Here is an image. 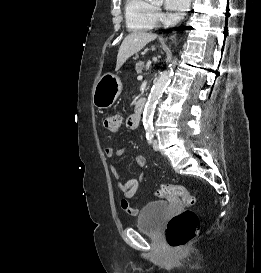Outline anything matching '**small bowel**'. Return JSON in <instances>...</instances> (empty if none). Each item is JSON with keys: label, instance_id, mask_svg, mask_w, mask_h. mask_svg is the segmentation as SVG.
Listing matches in <instances>:
<instances>
[{"label": "small bowel", "instance_id": "1", "mask_svg": "<svg viewBox=\"0 0 261 273\" xmlns=\"http://www.w3.org/2000/svg\"><path fill=\"white\" fill-rule=\"evenodd\" d=\"M125 126L127 129H134L136 126L134 125V116L133 114L125 117ZM126 151L125 147H120L114 149L113 147H106L104 153L106 157L111 158L114 156H122ZM134 163L143 168L146 164V159L143 155H137L134 157ZM111 171L114 178L117 181V188L123 194V198L121 199L120 205L121 208L130 215H136L138 210L131 207L129 200L134 196L137 191L139 185L143 181V175H141L137 179H130L128 181L123 182L121 180L120 174L115 166H111Z\"/></svg>", "mask_w": 261, "mask_h": 273}]
</instances>
